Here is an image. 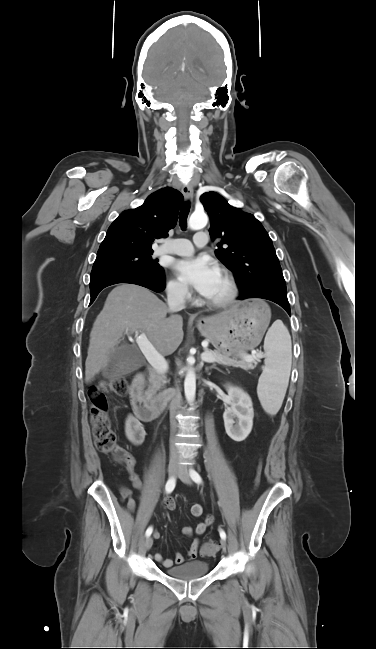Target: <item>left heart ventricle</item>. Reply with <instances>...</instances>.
<instances>
[{
    "label": "left heart ventricle",
    "mask_w": 376,
    "mask_h": 649,
    "mask_svg": "<svg viewBox=\"0 0 376 649\" xmlns=\"http://www.w3.org/2000/svg\"><path fill=\"white\" fill-rule=\"evenodd\" d=\"M228 292V284L221 273H219L211 290L205 296L209 300H219L223 298Z\"/></svg>",
    "instance_id": "b2bd125f"
}]
</instances>
